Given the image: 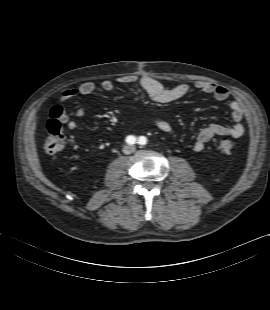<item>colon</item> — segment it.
<instances>
[{
  "label": "colon",
  "instance_id": "colon-1",
  "mask_svg": "<svg viewBox=\"0 0 270 310\" xmlns=\"http://www.w3.org/2000/svg\"><path fill=\"white\" fill-rule=\"evenodd\" d=\"M62 109L59 106H54L51 110L50 119L47 123V137L45 140V151L50 155L59 153L65 144V134L63 131L60 115ZM235 147V143L230 138H221L218 142V148L223 153L231 152Z\"/></svg>",
  "mask_w": 270,
  "mask_h": 310
}]
</instances>
